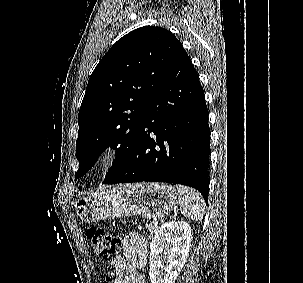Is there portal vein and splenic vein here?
<instances>
[{
  "mask_svg": "<svg viewBox=\"0 0 303 283\" xmlns=\"http://www.w3.org/2000/svg\"><path fill=\"white\" fill-rule=\"evenodd\" d=\"M155 224H158V221L157 220H154Z\"/></svg>",
  "mask_w": 303,
  "mask_h": 283,
  "instance_id": "obj_1",
  "label": "portal vein and splenic vein"
}]
</instances>
